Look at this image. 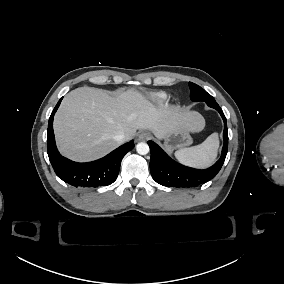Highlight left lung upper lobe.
I'll use <instances>...</instances> for the list:
<instances>
[{"instance_id":"left-lung-upper-lobe-1","label":"left lung upper lobe","mask_w":284,"mask_h":284,"mask_svg":"<svg viewBox=\"0 0 284 284\" xmlns=\"http://www.w3.org/2000/svg\"><path fill=\"white\" fill-rule=\"evenodd\" d=\"M189 87L191 90L190 98L192 101H195V102L197 101L214 102L215 101V99L200 86L192 82H189Z\"/></svg>"}]
</instances>
